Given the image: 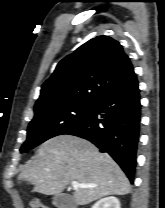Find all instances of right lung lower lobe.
<instances>
[{"mask_svg": "<svg viewBox=\"0 0 165 208\" xmlns=\"http://www.w3.org/2000/svg\"><path fill=\"white\" fill-rule=\"evenodd\" d=\"M140 117V90L134 74L101 97L88 118L67 134L87 139L101 152L109 153L133 182Z\"/></svg>", "mask_w": 165, "mask_h": 208, "instance_id": "1", "label": "right lung lower lobe"}]
</instances>
